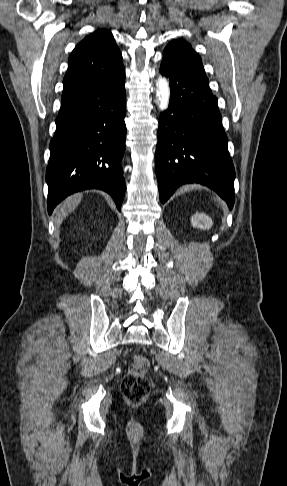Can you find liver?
<instances>
[{
  "mask_svg": "<svg viewBox=\"0 0 287 486\" xmlns=\"http://www.w3.org/2000/svg\"><path fill=\"white\" fill-rule=\"evenodd\" d=\"M82 200V194L77 193L68 197L57 209L54 222L56 227H59L62 221L73 212Z\"/></svg>",
  "mask_w": 287,
  "mask_h": 486,
  "instance_id": "obj_1",
  "label": "liver"
}]
</instances>
